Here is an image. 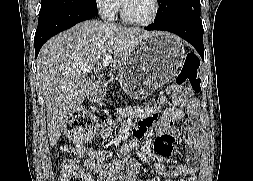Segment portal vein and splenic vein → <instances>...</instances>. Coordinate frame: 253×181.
Here are the masks:
<instances>
[{
	"label": "portal vein and splenic vein",
	"instance_id": "18ae733b",
	"mask_svg": "<svg viewBox=\"0 0 253 181\" xmlns=\"http://www.w3.org/2000/svg\"><path fill=\"white\" fill-rule=\"evenodd\" d=\"M111 62H112V55L107 54L102 58L100 65L101 66H107ZM92 69L93 68L91 66H88V65L81 66V70L83 71V73H90L92 71Z\"/></svg>",
	"mask_w": 253,
	"mask_h": 181
}]
</instances>
